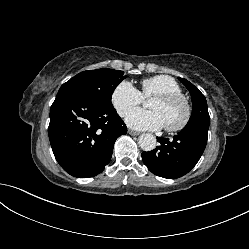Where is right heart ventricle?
Returning a JSON list of instances; mask_svg holds the SVG:
<instances>
[{
  "instance_id": "obj_1",
  "label": "right heart ventricle",
  "mask_w": 249,
  "mask_h": 249,
  "mask_svg": "<svg viewBox=\"0 0 249 249\" xmlns=\"http://www.w3.org/2000/svg\"><path fill=\"white\" fill-rule=\"evenodd\" d=\"M141 95L148 99L160 94H182L179 83L168 75H156L141 81Z\"/></svg>"
}]
</instances>
